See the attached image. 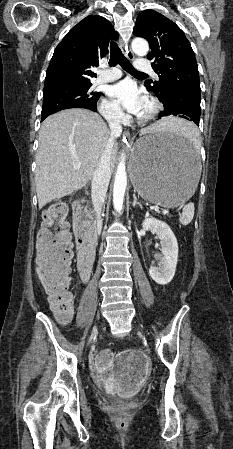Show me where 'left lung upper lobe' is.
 <instances>
[{
  "label": "left lung upper lobe",
  "mask_w": 233,
  "mask_h": 449,
  "mask_svg": "<svg viewBox=\"0 0 233 449\" xmlns=\"http://www.w3.org/2000/svg\"><path fill=\"white\" fill-rule=\"evenodd\" d=\"M133 34L145 38L153 60L152 68L159 81L146 82L156 95L177 94L200 105V82L197 62L189 41L183 31L170 19L153 11H142L136 20Z\"/></svg>",
  "instance_id": "obj_1"
}]
</instances>
